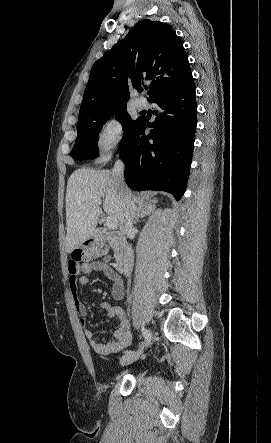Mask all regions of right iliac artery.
I'll return each mask as SVG.
<instances>
[{"instance_id": "obj_1", "label": "right iliac artery", "mask_w": 271, "mask_h": 443, "mask_svg": "<svg viewBox=\"0 0 271 443\" xmlns=\"http://www.w3.org/2000/svg\"><path fill=\"white\" fill-rule=\"evenodd\" d=\"M142 334L146 340V345H148L150 343L151 336H150L149 332L144 327H142ZM132 352H134V351H131V350L125 351V353H132Z\"/></svg>"}]
</instances>
